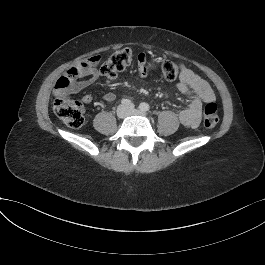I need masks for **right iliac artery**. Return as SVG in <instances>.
I'll use <instances>...</instances> for the list:
<instances>
[{"label":"right iliac artery","instance_id":"obj_1","mask_svg":"<svg viewBox=\"0 0 265 265\" xmlns=\"http://www.w3.org/2000/svg\"><path fill=\"white\" fill-rule=\"evenodd\" d=\"M121 103H122V105L127 106V107H129L131 109L134 108L133 103L129 99H123L121 101Z\"/></svg>","mask_w":265,"mask_h":265}]
</instances>
